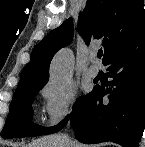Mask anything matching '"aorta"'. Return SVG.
Masks as SVG:
<instances>
[{"mask_svg": "<svg viewBox=\"0 0 145 147\" xmlns=\"http://www.w3.org/2000/svg\"><path fill=\"white\" fill-rule=\"evenodd\" d=\"M73 70V54L69 49L59 51L50 66L52 84L61 86L70 77Z\"/></svg>", "mask_w": 145, "mask_h": 147, "instance_id": "1", "label": "aorta"}]
</instances>
